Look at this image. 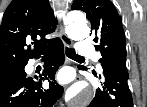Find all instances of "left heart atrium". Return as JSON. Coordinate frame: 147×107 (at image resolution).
I'll list each match as a JSON object with an SVG mask.
<instances>
[{
  "mask_svg": "<svg viewBox=\"0 0 147 107\" xmlns=\"http://www.w3.org/2000/svg\"><path fill=\"white\" fill-rule=\"evenodd\" d=\"M60 79L65 82V81H68L70 79V76L68 74V72L66 71H63L61 74H60Z\"/></svg>",
  "mask_w": 147,
  "mask_h": 107,
  "instance_id": "left-heart-atrium-1",
  "label": "left heart atrium"
}]
</instances>
